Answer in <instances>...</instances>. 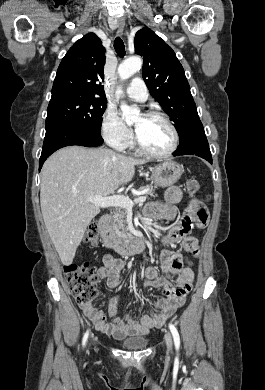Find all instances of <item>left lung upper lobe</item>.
Here are the masks:
<instances>
[{
	"instance_id": "obj_1",
	"label": "left lung upper lobe",
	"mask_w": 265,
	"mask_h": 390,
	"mask_svg": "<svg viewBox=\"0 0 265 390\" xmlns=\"http://www.w3.org/2000/svg\"><path fill=\"white\" fill-rule=\"evenodd\" d=\"M134 45L143 56L146 86L174 122L180 140L177 149L184 148L204 130L184 69L172 48L148 28L136 33Z\"/></svg>"
}]
</instances>
